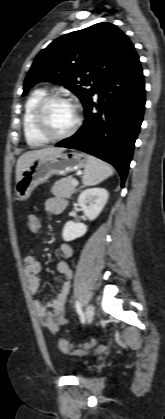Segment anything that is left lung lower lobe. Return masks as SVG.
<instances>
[{"mask_svg": "<svg viewBox=\"0 0 165 419\" xmlns=\"http://www.w3.org/2000/svg\"><path fill=\"white\" fill-rule=\"evenodd\" d=\"M96 93L99 103L91 100L84 107L82 127L56 146L78 149L112 164L123 187L145 108L144 78L135 50L101 81Z\"/></svg>", "mask_w": 165, "mask_h": 419, "instance_id": "left-lung-lower-lobe-1", "label": "left lung lower lobe"}]
</instances>
